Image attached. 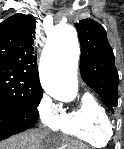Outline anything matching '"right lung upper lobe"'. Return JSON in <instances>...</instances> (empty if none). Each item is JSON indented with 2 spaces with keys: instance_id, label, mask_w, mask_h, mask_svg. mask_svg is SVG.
Returning <instances> with one entry per match:
<instances>
[{
  "instance_id": "obj_1",
  "label": "right lung upper lobe",
  "mask_w": 124,
  "mask_h": 149,
  "mask_svg": "<svg viewBox=\"0 0 124 149\" xmlns=\"http://www.w3.org/2000/svg\"><path fill=\"white\" fill-rule=\"evenodd\" d=\"M34 33L35 18L31 15L17 13L0 24V68L20 72L40 86Z\"/></svg>"
}]
</instances>
